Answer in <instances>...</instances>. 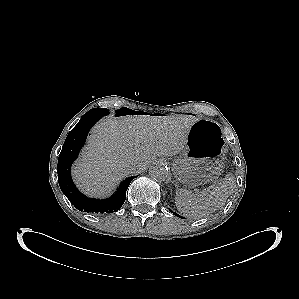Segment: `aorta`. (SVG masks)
<instances>
[{"label": "aorta", "instance_id": "1", "mask_svg": "<svg viewBox=\"0 0 299 299\" xmlns=\"http://www.w3.org/2000/svg\"><path fill=\"white\" fill-rule=\"evenodd\" d=\"M149 175L154 180L164 181L169 176V170L164 164L156 163L149 168Z\"/></svg>", "mask_w": 299, "mask_h": 299}]
</instances>
